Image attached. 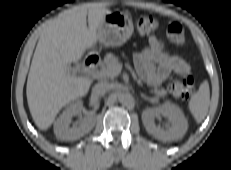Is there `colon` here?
Instances as JSON below:
<instances>
[{
    "mask_svg": "<svg viewBox=\"0 0 231 170\" xmlns=\"http://www.w3.org/2000/svg\"><path fill=\"white\" fill-rule=\"evenodd\" d=\"M158 23L155 18L151 16H140L136 20V29L139 34L145 37L152 36L156 29ZM195 80L192 76H187L183 79H175L171 81L168 85L169 92L180 98H188L195 91Z\"/></svg>",
    "mask_w": 231,
    "mask_h": 170,
    "instance_id": "1",
    "label": "colon"
}]
</instances>
